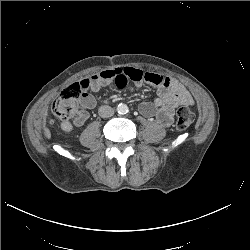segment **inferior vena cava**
<instances>
[{"label":"inferior vena cava","instance_id":"1","mask_svg":"<svg viewBox=\"0 0 250 250\" xmlns=\"http://www.w3.org/2000/svg\"><path fill=\"white\" fill-rule=\"evenodd\" d=\"M98 112L102 118H108L114 115V109L108 105L101 106Z\"/></svg>","mask_w":250,"mask_h":250}]
</instances>
